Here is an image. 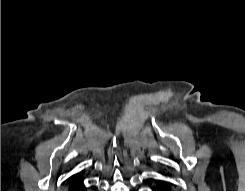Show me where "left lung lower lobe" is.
I'll list each match as a JSON object with an SVG mask.
<instances>
[{
  "mask_svg": "<svg viewBox=\"0 0 245 191\" xmlns=\"http://www.w3.org/2000/svg\"><path fill=\"white\" fill-rule=\"evenodd\" d=\"M154 191H172V185L166 180L158 181L157 187Z\"/></svg>",
  "mask_w": 245,
  "mask_h": 191,
  "instance_id": "obj_1",
  "label": "left lung lower lobe"
}]
</instances>
